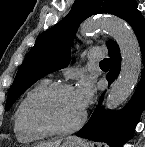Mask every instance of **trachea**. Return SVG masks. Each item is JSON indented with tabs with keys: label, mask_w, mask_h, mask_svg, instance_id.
Wrapping results in <instances>:
<instances>
[{
	"label": "trachea",
	"mask_w": 145,
	"mask_h": 147,
	"mask_svg": "<svg viewBox=\"0 0 145 147\" xmlns=\"http://www.w3.org/2000/svg\"><path fill=\"white\" fill-rule=\"evenodd\" d=\"M100 64H102V65H109L110 64V60L108 58H106V59L102 60L100 62Z\"/></svg>",
	"instance_id": "trachea-1"
}]
</instances>
